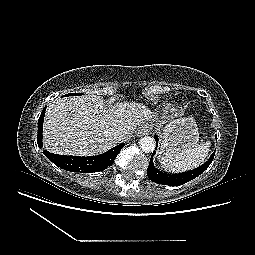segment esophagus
Wrapping results in <instances>:
<instances>
[{"instance_id": "34e87169", "label": "esophagus", "mask_w": 255, "mask_h": 255, "mask_svg": "<svg viewBox=\"0 0 255 255\" xmlns=\"http://www.w3.org/2000/svg\"><path fill=\"white\" fill-rule=\"evenodd\" d=\"M150 131H151V126H150V125H147V124H144V125H142V126L138 129L137 136L146 135V134H148Z\"/></svg>"}]
</instances>
